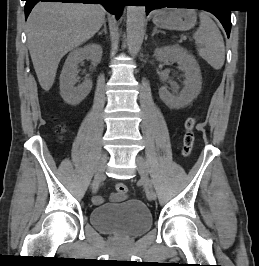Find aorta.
Instances as JSON below:
<instances>
[{"label": "aorta", "instance_id": "obj_1", "mask_svg": "<svg viewBox=\"0 0 259 266\" xmlns=\"http://www.w3.org/2000/svg\"><path fill=\"white\" fill-rule=\"evenodd\" d=\"M145 6L127 7V43L131 56L139 53L144 37Z\"/></svg>", "mask_w": 259, "mask_h": 266}]
</instances>
